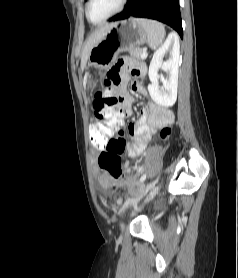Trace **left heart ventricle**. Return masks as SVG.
I'll list each match as a JSON object with an SVG mask.
<instances>
[{
  "mask_svg": "<svg viewBox=\"0 0 238 278\" xmlns=\"http://www.w3.org/2000/svg\"><path fill=\"white\" fill-rule=\"evenodd\" d=\"M120 0H92L89 7L91 19L102 20L112 13L119 5Z\"/></svg>",
  "mask_w": 238,
  "mask_h": 278,
  "instance_id": "obj_1",
  "label": "left heart ventricle"
}]
</instances>
